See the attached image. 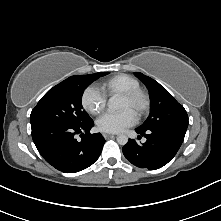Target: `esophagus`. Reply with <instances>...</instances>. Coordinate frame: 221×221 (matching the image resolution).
Masks as SVG:
<instances>
[{"label": "esophagus", "instance_id": "obj_1", "mask_svg": "<svg viewBox=\"0 0 221 221\" xmlns=\"http://www.w3.org/2000/svg\"><path fill=\"white\" fill-rule=\"evenodd\" d=\"M113 136H114V134H111V133H103V137H104L105 139L110 138V137H113Z\"/></svg>", "mask_w": 221, "mask_h": 221}]
</instances>
